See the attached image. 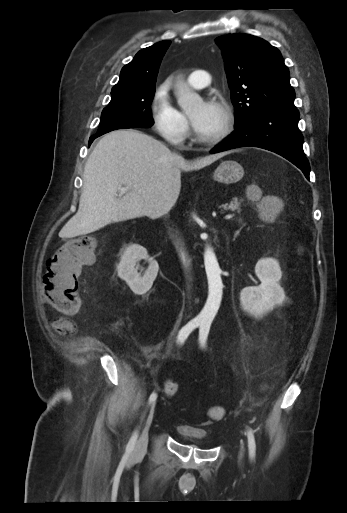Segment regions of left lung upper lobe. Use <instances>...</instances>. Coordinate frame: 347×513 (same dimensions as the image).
<instances>
[{"mask_svg":"<svg viewBox=\"0 0 347 513\" xmlns=\"http://www.w3.org/2000/svg\"><path fill=\"white\" fill-rule=\"evenodd\" d=\"M222 50L236 125L272 109H296L295 91L280 51L249 34L216 39Z\"/></svg>","mask_w":347,"mask_h":513,"instance_id":"1","label":"left lung upper lobe"}]
</instances>
